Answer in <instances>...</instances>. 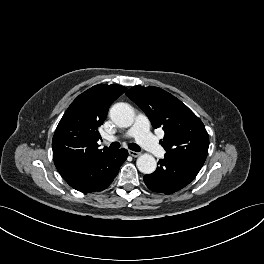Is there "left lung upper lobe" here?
Returning <instances> with one entry per match:
<instances>
[{
	"mask_svg": "<svg viewBox=\"0 0 264 264\" xmlns=\"http://www.w3.org/2000/svg\"><path fill=\"white\" fill-rule=\"evenodd\" d=\"M126 94L145 112L155 129L164 130L160 143L166 154L203 166L209 136L202 121L186 105L158 87L134 86Z\"/></svg>",
	"mask_w": 264,
	"mask_h": 264,
	"instance_id": "5c2ea615",
	"label": "left lung upper lobe"
}]
</instances>
